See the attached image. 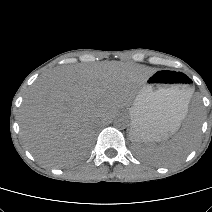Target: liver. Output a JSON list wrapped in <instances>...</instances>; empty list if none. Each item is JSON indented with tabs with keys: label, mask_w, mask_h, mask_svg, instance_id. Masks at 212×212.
I'll use <instances>...</instances> for the list:
<instances>
[{
	"label": "liver",
	"mask_w": 212,
	"mask_h": 212,
	"mask_svg": "<svg viewBox=\"0 0 212 212\" xmlns=\"http://www.w3.org/2000/svg\"><path fill=\"white\" fill-rule=\"evenodd\" d=\"M151 74L141 65L117 61L44 74L33 83L20 109L24 146L42 164H74L87 155L97 124L128 107Z\"/></svg>",
	"instance_id": "liver-1"
}]
</instances>
